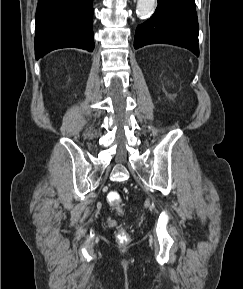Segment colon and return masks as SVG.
Masks as SVG:
<instances>
[{
  "instance_id": "5ec220e1",
  "label": "colon",
  "mask_w": 243,
  "mask_h": 289,
  "mask_svg": "<svg viewBox=\"0 0 243 289\" xmlns=\"http://www.w3.org/2000/svg\"><path fill=\"white\" fill-rule=\"evenodd\" d=\"M107 201L108 203L115 208H120L121 203H122V199L121 196L118 192L116 191H111L108 195H107ZM117 240L120 243H127L130 240V236L129 233L126 229L122 228L118 231L117 233Z\"/></svg>"
}]
</instances>
